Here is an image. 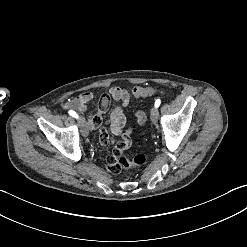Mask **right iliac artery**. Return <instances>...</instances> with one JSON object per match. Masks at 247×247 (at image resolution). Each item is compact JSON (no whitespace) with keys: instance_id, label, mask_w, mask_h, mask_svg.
<instances>
[{"instance_id":"82829eb1","label":"right iliac artery","mask_w":247,"mask_h":247,"mask_svg":"<svg viewBox=\"0 0 247 247\" xmlns=\"http://www.w3.org/2000/svg\"><path fill=\"white\" fill-rule=\"evenodd\" d=\"M69 115H71L72 117H74V118H78V115H77V113L75 112V111H73V110H70L69 112Z\"/></svg>"}]
</instances>
